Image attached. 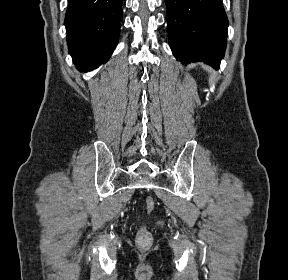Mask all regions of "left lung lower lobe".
Wrapping results in <instances>:
<instances>
[{"instance_id":"left-lung-lower-lobe-1","label":"left lung lower lobe","mask_w":288,"mask_h":280,"mask_svg":"<svg viewBox=\"0 0 288 280\" xmlns=\"http://www.w3.org/2000/svg\"><path fill=\"white\" fill-rule=\"evenodd\" d=\"M171 50L182 63L215 69L224 57L228 19L222 0H165Z\"/></svg>"}]
</instances>
